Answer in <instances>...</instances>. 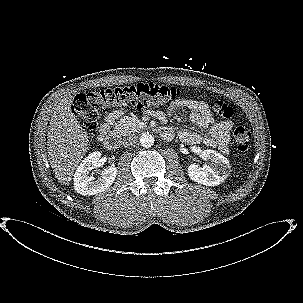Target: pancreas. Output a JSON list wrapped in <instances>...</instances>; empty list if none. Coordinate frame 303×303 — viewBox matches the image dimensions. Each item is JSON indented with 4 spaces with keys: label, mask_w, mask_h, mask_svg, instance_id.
<instances>
[{
    "label": "pancreas",
    "mask_w": 303,
    "mask_h": 303,
    "mask_svg": "<svg viewBox=\"0 0 303 303\" xmlns=\"http://www.w3.org/2000/svg\"><path fill=\"white\" fill-rule=\"evenodd\" d=\"M145 127V124L135 117H124L116 125L115 132L118 135H126L129 132H137Z\"/></svg>",
    "instance_id": "1"
}]
</instances>
